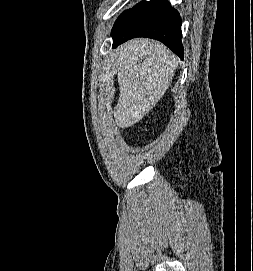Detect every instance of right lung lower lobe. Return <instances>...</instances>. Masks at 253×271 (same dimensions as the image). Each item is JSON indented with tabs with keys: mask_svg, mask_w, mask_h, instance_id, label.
<instances>
[{
	"mask_svg": "<svg viewBox=\"0 0 253 271\" xmlns=\"http://www.w3.org/2000/svg\"><path fill=\"white\" fill-rule=\"evenodd\" d=\"M113 47L135 37H149L164 43L183 59L181 18L167 0H151L134 6L112 31Z\"/></svg>",
	"mask_w": 253,
	"mask_h": 271,
	"instance_id": "98d812e1",
	"label": "right lung lower lobe"
}]
</instances>
